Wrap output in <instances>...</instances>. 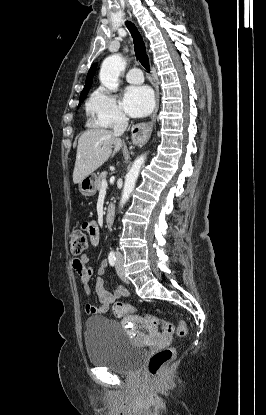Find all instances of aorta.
<instances>
[{
  "label": "aorta",
  "mask_w": 266,
  "mask_h": 415,
  "mask_svg": "<svg viewBox=\"0 0 266 415\" xmlns=\"http://www.w3.org/2000/svg\"><path fill=\"white\" fill-rule=\"evenodd\" d=\"M126 62L120 54H114L107 57L101 66L99 78L101 83L111 91H116L118 88V79L121 71L125 69ZM146 159V155H141L132 164L131 169L126 174L122 196L120 200V207L128 201L131 193L135 188L141 167Z\"/></svg>",
  "instance_id": "aorta-1"
}]
</instances>
